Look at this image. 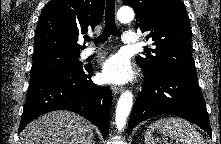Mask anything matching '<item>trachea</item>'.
Masks as SVG:
<instances>
[{
	"instance_id": "obj_1",
	"label": "trachea",
	"mask_w": 221,
	"mask_h": 144,
	"mask_svg": "<svg viewBox=\"0 0 221 144\" xmlns=\"http://www.w3.org/2000/svg\"><path fill=\"white\" fill-rule=\"evenodd\" d=\"M110 35L117 36V29H116V23H115V1L114 0H107V2H106L105 28H104L103 33L94 40L95 44L104 43ZM86 40L90 41L91 39L89 37H87Z\"/></svg>"
}]
</instances>
